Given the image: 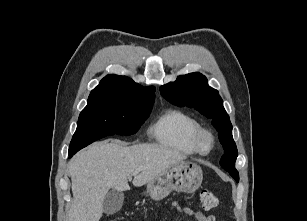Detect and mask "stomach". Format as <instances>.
Returning a JSON list of instances; mask_svg holds the SVG:
<instances>
[{
  "mask_svg": "<svg viewBox=\"0 0 307 221\" xmlns=\"http://www.w3.org/2000/svg\"><path fill=\"white\" fill-rule=\"evenodd\" d=\"M202 180L203 173L199 165L190 161H181L148 182L144 194L153 200H161L173 190L192 193L199 188Z\"/></svg>",
  "mask_w": 307,
  "mask_h": 221,
  "instance_id": "stomach-1",
  "label": "stomach"
}]
</instances>
